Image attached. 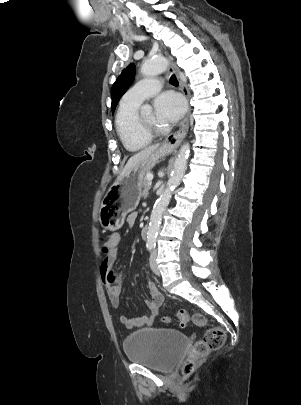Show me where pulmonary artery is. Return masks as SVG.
<instances>
[{
  "instance_id": "e3ab8cb5",
  "label": "pulmonary artery",
  "mask_w": 301,
  "mask_h": 405,
  "mask_svg": "<svg viewBox=\"0 0 301 405\" xmlns=\"http://www.w3.org/2000/svg\"><path fill=\"white\" fill-rule=\"evenodd\" d=\"M162 88V82L157 78H146L131 87L123 96L122 102L140 105L145 99L153 96Z\"/></svg>"
}]
</instances>
